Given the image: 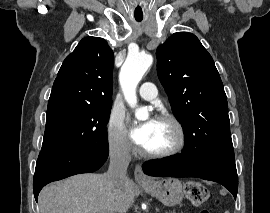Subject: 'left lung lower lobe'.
Listing matches in <instances>:
<instances>
[{"mask_svg": "<svg viewBox=\"0 0 270 213\" xmlns=\"http://www.w3.org/2000/svg\"><path fill=\"white\" fill-rule=\"evenodd\" d=\"M143 171L150 176L199 177L225 186L236 199L238 176L234 152L216 155L201 154L191 143H185L182 154L144 163Z\"/></svg>", "mask_w": 270, "mask_h": 213, "instance_id": "obj_1", "label": "left lung lower lobe"}]
</instances>
